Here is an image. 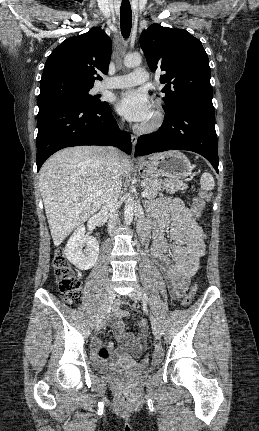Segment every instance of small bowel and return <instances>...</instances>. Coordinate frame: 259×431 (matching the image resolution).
<instances>
[{
	"label": "small bowel",
	"mask_w": 259,
	"mask_h": 431,
	"mask_svg": "<svg viewBox=\"0 0 259 431\" xmlns=\"http://www.w3.org/2000/svg\"><path fill=\"white\" fill-rule=\"evenodd\" d=\"M152 255L163 275L169 295L173 299L182 297L191 277L201 268V259L205 254L206 233L197 223L192 208L184 206L181 200L163 197L154 207ZM115 319L111 322L117 333L118 349L113 343L103 344L94 341V350L99 361L111 358L128 359L129 355L139 357L146 347L148 322L144 318L137 320L139 333L135 337L125 331L123 319L130 315L127 311L116 308Z\"/></svg>",
	"instance_id": "obj_1"
}]
</instances>
